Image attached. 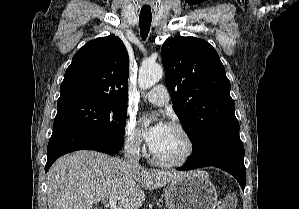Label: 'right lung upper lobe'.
I'll use <instances>...</instances> for the list:
<instances>
[{"label":"right lung upper lobe","mask_w":299,"mask_h":209,"mask_svg":"<svg viewBox=\"0 0 299 209\" xmlns=\"http://www.w3.org/2000/svg\"><path fill=\"white\" fill-rule=\"evenodd\" d=\"M129 56L120 38L110 35L89 41L72 58L57 104L104 102L127 104Z\"/></svg>","instance_id":"obj_1"}]
</instances>
